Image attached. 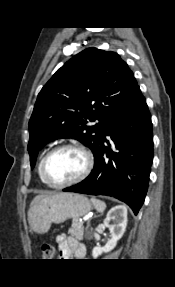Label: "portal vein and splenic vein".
<instances>
[{"label": "portal vein and splenic vein", "instance_id": "portal-vein-and-splenic-vein-1", "mask_svg": "<svg viewBox=\"0 0 175 287\" xmlns=\"http://www.w3.org/2000/svg\"><path fill=\"white\" fill-rule=\"evenodd\" d=\"M82 222H83L82 220H81V221H79V224H82Z\"/></svg>", "mask_w": 175, "mask_h": 287}]
</instances>
